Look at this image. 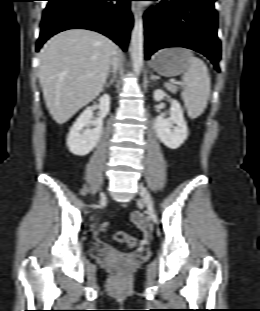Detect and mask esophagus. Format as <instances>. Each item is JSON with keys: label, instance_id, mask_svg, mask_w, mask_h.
Masks as SVG:
<instances>
[{"label": "esophagus", "instance_id": "esophagus-1", "mask_svg": "<svg viewBox=\"0 0 260 311\" xmlns=\"http://www.w3.org/2000/svg\"><path fill=\"white\" fill-rule=\"evenodd\" d=\"M131 10H132V13L134 14L135 18L142 15V10H141L140 6H138L134 3L131 6Z\"/></svg>", "mask_w": 260, "mask_h": 311}]
</instances>
